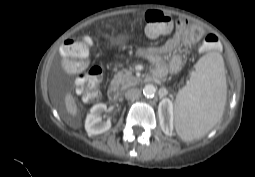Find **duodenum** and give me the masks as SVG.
Segmentation results:
<instances>
[{
	"mask_svg": "<svg viewBox=\"0 0 255 177\" xmlns=\"http://www.w3.org/2000/svg\"><path fill=\"white\" fill-rule=\"evenodd\" d=\"M161 77L156 73H152L150 74L148 77H147V81L148 82H153V81H156L157 79H160ZM108 97L111 101H117L118 98H119V92H118V89L116 88L115 85H111L109 88H108Z\"/></svg>",
	"mask_w": 255,
	"mask_h": 177,
	"instance_id": "duodenum-1",
	"label": "duodenum"
}]
</instances>
